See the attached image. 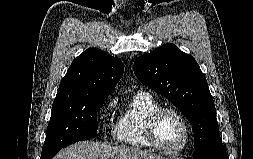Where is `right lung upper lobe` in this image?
<instances>
[{
    "mask_svg": "<svg viewBox=\"0 0 253 159\" xmlns=\"http://www.w3.org/2000/svg\"><path fill=\"white\" fill-rule=\"evenodd\" d=\"M123 71L120 59L96 48L87 49L71 63L55 99L78 95L108 96Z\"/></svg>",
    "mask_w": 253,
    "mask_h": 159,
    "instance_id": "obj_1",
    "label": "right lung upper lobe"
}]
</instances>
